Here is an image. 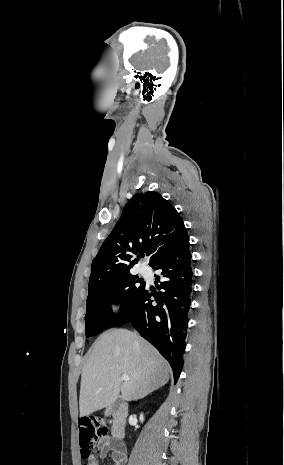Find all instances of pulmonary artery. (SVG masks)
<instances>
[{
  "label": "pulmonary artery",
  "instance_id": "e3ab8cb5",
  "mask_svg": "<svg viewBox=\"0 0 284 465\" xmlns=\"http://www.w3.org/2000/svg\"><path fill=\"white\" fill-rule=\"evenodd\" d=\"M138 271L140 274H144L146 272V269L145 267H140Z\"/></svg>",
  "mask_w": 284,
  "mask_h": 465
}]
</instances>
